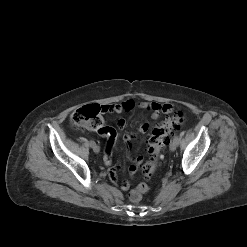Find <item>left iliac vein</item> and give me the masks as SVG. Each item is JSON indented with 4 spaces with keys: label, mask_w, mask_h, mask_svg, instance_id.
<instances>
[{
    "label": "left iliac vein",
    "mask_w": 247,
    "mask_h": 247,
    "mask_svg": "<svg viewBox=\"0 0 247 247\" xmlns=\"http://www.w3.org/2000/svg\"><path fill=\"white\" fill-rule=\"evenodd\" d=\"M177 145H178V143L173 139V141L171 142L170 147H169L170 150L175 151L177 148Z\"/></svg>",
    "instance_id": "4c4485c4"
}]
</instances>
